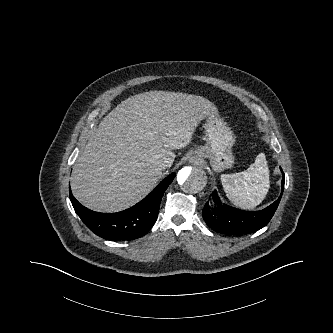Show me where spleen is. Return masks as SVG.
I'll use <instances>...</instances> for the list:
<instances>
[{
    "label": "spleen",
    "instance_id": "spleen-1",
    "mask_svg": "<svg viewBox=\"0 0 333 333\" xmlns=\"http://www.w3.org/2000/svg\"><path fill=\"white\" fill-rule=\"evenodd\" d=\"M221 182L228 199L243 209H254L266 197L269 187V168L264 153L245 171L221 175Z\"/></svg>",
    "mask_w": 333,
    "mask_h": 333
}]
</instances>
